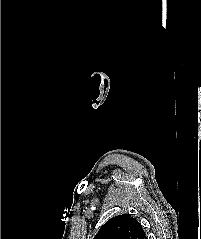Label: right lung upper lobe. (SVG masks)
<instances>
[{
	"label": "right lung upper lobe",
	"mask_w": 201,
	"mask_h": 239,
	"mask_svg": "<svg viewBox=\"0 0 201 239\" xmlns=\"http://www.w3.org/2000/svg\"><path fill=\"white\" fill-rule=\"evenodd\" d=\"M93 239H147L142 226L129 214L109 219Z\"/></svg>",
	"instance_id": "obj_1"
}]
</instances>
